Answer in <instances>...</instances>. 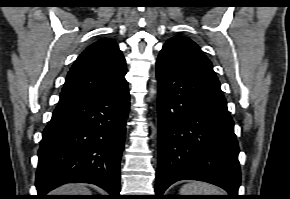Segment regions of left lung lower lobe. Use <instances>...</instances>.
Instances as JSON below:
<instances>
[{
    "mask_svg": "<svg viewBox=\"0 0 290 199\" xmlns=\"http://www.w3.org/2000/svg\"><path fill=\"white\" fill-rule=\"evenodd\" d=\"M158 80L159 198L184 179L215 184L237 199L241 182L234 123L218 80L161 51Z\"/></svg>",
    "mask_w": 290,
    "mask_h": 199,
    "instance_id": "left-lung-lower-lobe-1",
    "label": "left lung lower lobe"
}]
</instances>
